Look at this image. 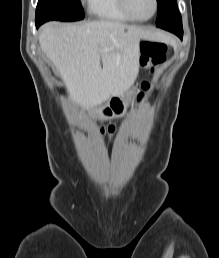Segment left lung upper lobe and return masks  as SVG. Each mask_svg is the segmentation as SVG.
<instances>
[{
  "instance_id": "5c2ea615",
  "label": "left lung upper lobe",
  "mask_w": 219,
  "mask_h": 258,
  "mask_svg": "<svg viewBox=\"0 0 219 258\" xmlns=\"http://www.w3.org/2000/svg\"><path fill=\"white\" fill-rule=\"evenodd\" d=\"M158 17L157 27L165 25H182L181 15L177 7V0H157Z\"/></svg>"
}]
</instances>
